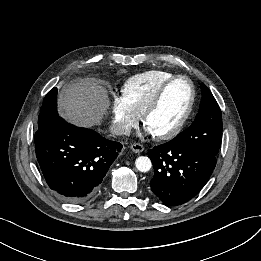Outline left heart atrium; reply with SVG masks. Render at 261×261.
I'll return each instance as SVG.
<instances>
[{
  "label": "left heart atrium",
  "instance_id": "1",
  "mask_svg": "<svg viewBox=\"0 0 261 261\" xmlns=\"http://www.w3.org/2000/svg\"><path fill=\"white\" fill-rule=\"evenodd\" d=\"M146 134L147 135H154L148 128H146Z\"/></svg>",
  "mask_w": 261,
  "mask_h": 261
}]
</instances>
